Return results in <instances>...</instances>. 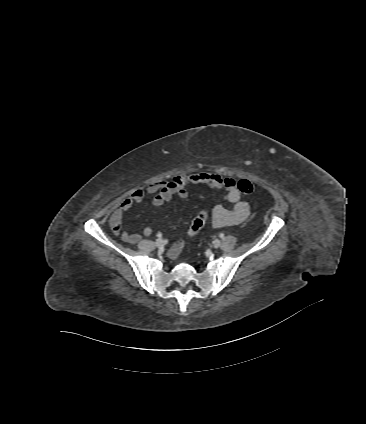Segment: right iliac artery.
Instances as JSON below:
<instances>
[{
	"mask_svg": "<svg viewBox=\"0 0 366 424\" xmlns=\"http://www.w3.org/2000/svg\"><path fill=\"white\" fill-rule=\"evenodd\" d=\"M157 237H159V238H160V237H162V234H160V233H159V234L157 235Z\"/></svg>",
	"mask_w": 366,
	"mask_h": 424,
	"instance_id": "obj_1",
	"label": "right iliac artery"
}]
</instances>
